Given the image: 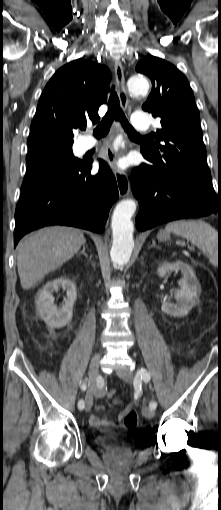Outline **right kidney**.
I'll use <instances>...</instances> for the list:
<instances>
[{"label":"right kidney","instance_id":"right-kidney-1","mask_svg":"<svg viewBox=\"0 0 221 510\" xmlns=\"http://www.w3.org/2000/svg\"><path fill=\"white\" fill-rule=\"evenodd\" d=\"M59 288L67 292L64 305L58 308L54 304L52 293ZM77 298L75 284L65 277L57 278L46 283L38 292L36 297V307L39 316L51 328H61L70 323L72 319L73 306Z\"/></svg>","mask_w":221,"mask_h":510}]
</instances>
